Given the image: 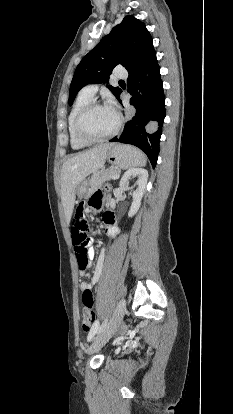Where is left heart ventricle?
I'll return each instance as SVG.
<instances>
[{
    "instance_id": "1",
    "label": "left heart ventricle",
    "mask_w": 233,
    "mask_h": 414,
    "mask_svg": "<svg viewBox=\"0 0 233 414\" xmlns=\"http://www.w3.org/2000/svg\"><path fill=\"white\" fill-rule=\"evenodd\" d=\"M117 122V115L107 107L92 110L84 119L83 129L92 136H103L111 132Z\"/></svg>"
}]
</instances>
